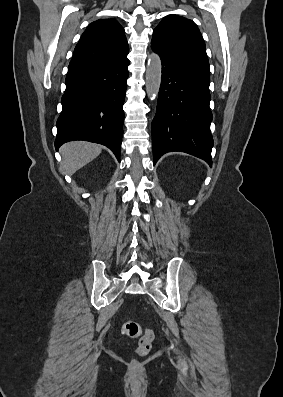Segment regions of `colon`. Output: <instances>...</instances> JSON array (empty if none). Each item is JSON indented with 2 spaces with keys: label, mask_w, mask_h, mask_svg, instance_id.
Segmentation results:
<instances>
[{
  "label": "colon",
  "mask_w": 283,
  "mask_h": 397,
  "mask_svg": "<svg viewBox=\"0 0 283 397\" xmlns=\"http://www.w3.org/2000/svg\"><path fill=\"white\" fill-rule=\"evenodd\" d=\"M122 331L129 337L139 338L137 347L138 354L145 355L149 352L153 340V333L151 330L142 328V326L135 321H126L123 323Z\"/></svg>",
  "instance_id": "1"
}]
</instances>
